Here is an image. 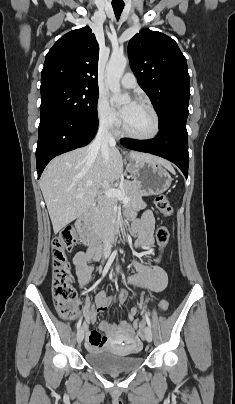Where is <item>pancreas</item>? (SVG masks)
<instances>
[{"instance_id":"cf45deb5","label":"pancreas","mask_w":235,"mask_h":404,"mask_svg":"<svg viewBox=\"0 0 235 404\" xmlns=\"http://www.w3.org/2000/svg\"><path fill=\"white\" fill-rule=\"evenodd\" d=\"M120 190L128 196L127 206L132 208H141L144 203L142 200V191L140 186L134 181H124ZM118 201L115 198H107L102 201L96 210L94 228L100 235H104L110 227V224L117 218Z\"/></svg>"}]
</instances>
